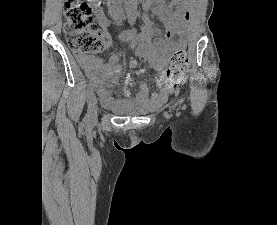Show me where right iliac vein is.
I'll return each mask as SVG.
<instances>
[{
  "instance_id": "right-iliac-vein-1",
  "label": "right iliac vein",
  "mask_w": 277,
  "mask_h": 225,
  "mask_svg": "<svg viewBox=\"0 0 277 225\" xmlns=\"http://www.w3.org/2000/svg\"><path fill=\"white\" fill-rule=\"evenodd\" d=\"M97 98L92 95L89 102V118L95 120L97 118Z\"/></svg>"
}]
</instances>
